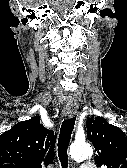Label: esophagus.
<instances>
[{
    "mask_svg": "<svg viewBox=\"0 0 127 168\" xmlns=\"http://www.w3.org/2000/svg\"><path fill=\"white\" fill-rule=\"evenodd\" d=\"M77 114V109L75 107H66L63 111V115L67 118H72Z\"/></svg>",
    "mask_w": 127,
    "mask_h": 168,
    "instance_id": "34e87169",
    "label": "esophagus"
}]
</instances>
